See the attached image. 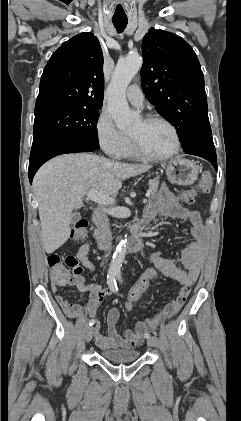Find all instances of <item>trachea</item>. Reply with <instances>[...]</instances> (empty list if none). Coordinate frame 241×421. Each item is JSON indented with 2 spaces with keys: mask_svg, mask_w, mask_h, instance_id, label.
<instances>
[{
  "mask_svg": "<svg viewBox=\"0 0 241 421\" xmlns=\"http://www.w3.org/2000/svg\"><path fill=\"white\" fill-rule=\"evenodd\" d=\"M112 22L115 26V28L117 29L118 32H122L128 23L127 19H112Z\"/></svg>",
  "mask_w": 241,
  "mask_h": 421,
  "instance_id": "obj_1",
  "label": "trachea"
}]
</instances>
